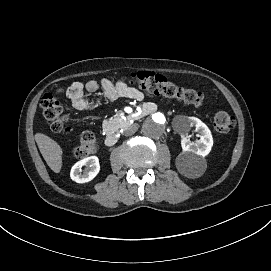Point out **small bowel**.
Wrapping results in <instances>:
<instances>
[{
	"label": "small bowel",
	"instance_id": "c3829d8e",
	"mask_svg": "<svg viewBox=\"0 0 271 271\" xmlns=\"http://www.w3.org/2000/svg\"><path fill=\"white\" fill-rule=\"evenodd\" d=\"M98 89L102 90L104 99L108 102H113L120 97L138 101L144 99V94L136 86L128 85L123 80H117L114 83L108 79H103L100 83L93 80L74 82L68 87L60 89L59 92L66 95L76 110H91L96 108L99 102L85 97V91L95 92ZM153 107L154 104L152 102H146L144 104L145 110H152Z\"/></svg>",
	"mask_w": 271,
	"mask_h": 271
}]
</instances>
